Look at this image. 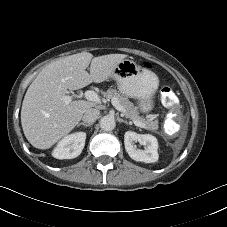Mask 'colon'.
<instances>
[{
  "mask_svg": "<svg viewBox=\"0 0 227 227\" xmlns=\"http://www.w3.org/2000/svg\"><path fill=\"white\" fill-rule=\"evenodd\" d=\"M161 98L169 105L176 106L179 103V99L172 88L163 87L160 91Z\"/></svg>",
  "mask_w": 227,
  "mask_h": 227,
  "instance_id": "obj_1",
  "label": "colon"
}]
</instances>
